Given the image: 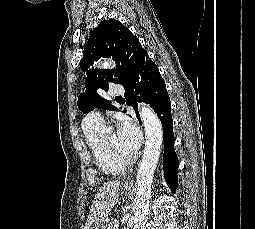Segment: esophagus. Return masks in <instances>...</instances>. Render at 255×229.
I'll use <instances>...</instances> for the list:
<instances>
[{
  "instance_id": "esophagus-1",
  "label": "esophagus",
  "mask_w": 255,
  "mask_h": 229,
  "mask_svg": "<svg viewBox=\"0 0 255 229\" xmlns=\"http://www.w3.org/2000/svg\"><path fill=\"white\" fill-rule=\"evenodd\" d=\"M133 180L132 179H127L125 182H124V185L126 186H132L133 185Z\"/></svg>"
}]
</instances>
